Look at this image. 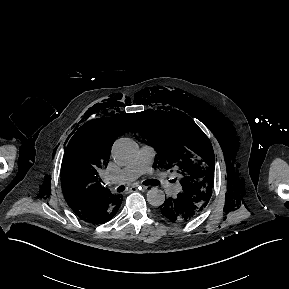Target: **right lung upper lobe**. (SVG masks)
Segmentation results:
<instances>
[{
    "mask_svg": "<svg viewBox=\"0 0 289 289\" xmlns=\"http://www.w3.org/2000/svg\"><path fill=\"white\" fill-rule=\"evenodd\" d=\"M128 114H111L82 125L71 137L62 162L64 198L81 219L93 218L104 201H115L101 184L100 171L107 167L115 139L132 131Z\"/></svg>",
    "mask_w": 289,
    "mask_h": 289,
    "instance_id": "1",
    "label": "right lung upper lobe"
}]
</instances>
